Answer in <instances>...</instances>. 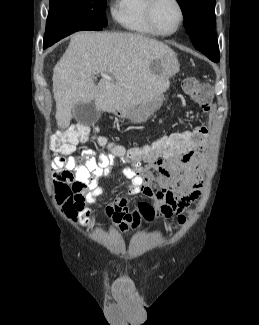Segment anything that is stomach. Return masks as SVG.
I'll return each mask as SVG.
<instances>
[{"label": "stomach", "instance_id": "1", "mask_svg": "<svg viewBox=\"0 0 259 325\" xmlns=\"http://www.w3.org/2000/svg\"><path fill=\"white\" fill-rule=\"evenodd\" d=\"M163 101L164 96L161 95L157 99L143 102L139 106L116 109L113 113L123 119H129L133 123H142L162 106Z\"/></svg>", "mask_w": 259, "mask_h": 325}]
</instances>
